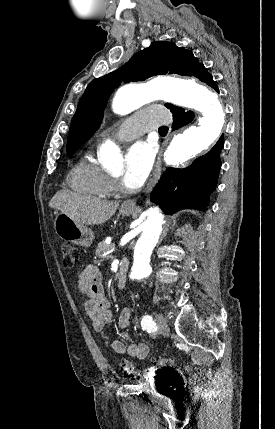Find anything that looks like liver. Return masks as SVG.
<instances>
[{
    "label": "liver",
    "mask_w": 275,
    "mask_h": 429,
    "mask_svg": "<svg viewBox=\"0 0 275 429\" xmlns=\"http://www.w3.org/2000/svg\"><path fill=\"white\" fill-rule=\"evenodd\" d=\"M49 206L67 214L77 224L101 225L114 215L119 203L60 190L52 197Z\"/></svg>",
    "instance_id": "liver-1"
}]
</instances>
